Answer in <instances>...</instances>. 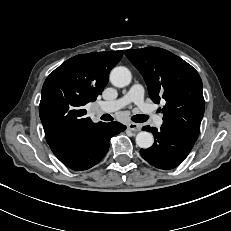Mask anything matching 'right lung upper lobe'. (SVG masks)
I'll use <instances>...</instances> for the list:
<instances>
[{
  "label": "right lung upper lobe",
  "mask_w": 231,
  "mask_h": 231,
  "mask_svg": "<svg viewBox=\"0 0 231 231\" xmlns=\"http://www.w3.org/2000/svg\"><path fill=\"white\" fill-rule=\"evenodd\" d=\"M123 51L81 54L65 61L45 80L39 115L52 152L59 159L83 135L103 124L93 123L83 106L96 100Z\"/></svg>",
  "instance_id": "obj_1"
}]
</instances>
